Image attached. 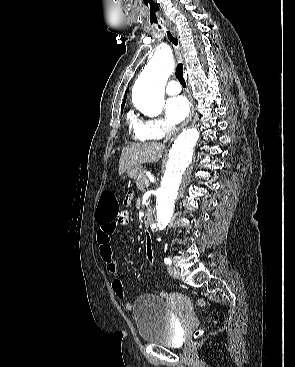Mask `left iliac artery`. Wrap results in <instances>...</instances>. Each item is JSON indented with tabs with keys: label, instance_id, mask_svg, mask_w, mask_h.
I'll use <instances>...</instances> for the list:
<instances>
[{
	"label": "left iliac artery",
	"instance_id": "1",
	"mask_svg": "<svg viewBox=\"0 0 295 367\" xmlns=\"http://www.w3.org/2000/svg\"><path fill=\"white\" fill-rule=\"evenodd\" d=\"M164 263L170 266L172 264V261H171L170 258L166 257V258H164Z\"/></svg>",
	"mask_w": 295,
	"mask_h": 367
}]
</instances>
